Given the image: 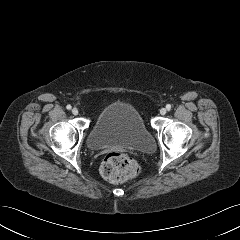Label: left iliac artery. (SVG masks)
Wrapping results in <instances>:
<instances>
[{"label":"left iliac artery","mask_w":240,"mask_h":240,"mask_svg":"<svg viewBox=\"0 0 240 240\" xmlns=\"http://www.w3.org/2000/svg\"><path fill=\"white\" fill-rule=\"evenodd\" d=\"M166 108H167V110H170V109H171V105H170V104H167V105H166Z\"/></svg>","instance_id":"1"}]
</instances>
